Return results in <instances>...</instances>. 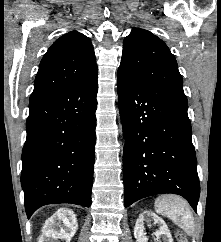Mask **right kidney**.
<instances>
[{
	"mask_svg": "<svg viewBox=\"0 0 221 242\" xmlns=\"http://www.w3.org/2000/svg\"><path fill=\"white\" fill-rule=\"evenodd\" d=\"M78 229V223L73 210L59 209L45 221L42 238L45 242H70Z\"/></svg>",
	"mask_w": 221,
	"mask_h": 242,
	"instance_id": "obj_1",
	"label": "right kidney"
}]
</instances>
